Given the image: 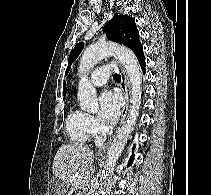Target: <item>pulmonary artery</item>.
I'll use <instances>...</instances> for the list:
<instances>
[{"mask_svg":"<svg viewBox=\"0 0 211 195\" xmlns=\"http://www.w3.org/2000/svg\"><path fill=\"white\" fill-rule=\"evenodd\" d=\"M115 70L116 67L113 64H108L97 68L91 73L90 82L94 86H102L107 83L111 72Z\"/></svg>","mask_w":211,"mask_h":195,"instance_id":"e3ab8cb5","label":"pulmonary artery"}]
</instances>
